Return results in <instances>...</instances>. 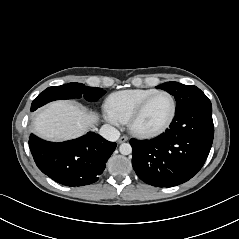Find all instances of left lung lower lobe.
I'll return each instance as SVG.
<instances>
[{"label": "left lung lower lobe", "instance_id": "0a47b994", "mask_svg": "<svg viewBox=\"0 0 239 239\" xmlns=\"http://www.w3.org/2000/svg\"><path fill=\"white\" fill-rule=\"evenodd\" d=\"M213 136L210 100L192 104L175 112L170 127L158 137L130 140L133 168L141 180L153 186L182 184L204 165Z\"/></svg>", "mask_w": 239, "mask_h": 239}]
</instances>
